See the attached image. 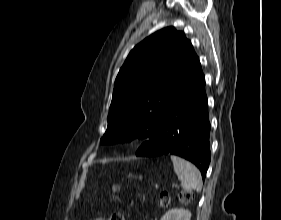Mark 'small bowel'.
I'll return each instance as SVG.
<instances>
[{"label":"small bowel","instance_id":"c3829d8e","mask_svg":"<svg viewBox=\"0 0 281 220\" xmlns=\"http://www.w3.org/2000/svg\"><path fill=\"white\" fill-rule=\"evenodd\" d=\"M94 220H108L107 218H103V217H100V218H96Z\"/></svg>","mask_w":281,"mask_h":220}]
</instances>
